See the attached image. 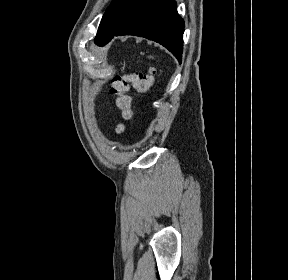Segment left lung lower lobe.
<instances>
[{
	"mask_svg": "<svg viewBox=\"0 0 288 280\" xmlns=\"http://www.w3.org/2000/svg\"><path fill=\"white\" fill-rule=\"evenodd\" d=\"M183 33L184 21L177 13L174 0H144L128 15L111 39L120 35H136L153 40L166 47L181 63Z\"/></svg>",
	"mask_w": 288,
	"mask_h": 280,
	"instance_id": "0a47b994",
	"label": "left lung lower lobe"
}]
</instances>
